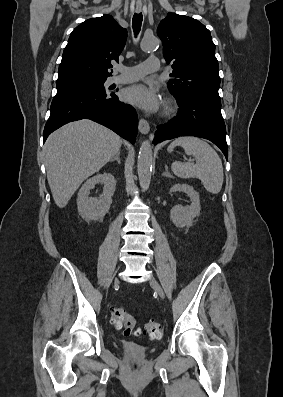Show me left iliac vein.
Listing matches in <instances>:
<instances>
[{"mask_svg": "<svg viewBox=\"0 0 283 397\" xmlns=\"http://www.w3.org/2000/svg\"><path fill=\"white\" fill-rule=\"evenodd\" d=\"M149 283L152 286V288L155 290V292L160 296V298L164 299L165 293H164L161 285L158 283V281L154 277H151L149 279Z\"/></svg>", "mask_w": 283, "mask_h": 397, "instance_id": "1", "label": "left iliac vein"}]
</instances>
